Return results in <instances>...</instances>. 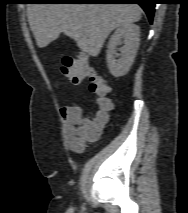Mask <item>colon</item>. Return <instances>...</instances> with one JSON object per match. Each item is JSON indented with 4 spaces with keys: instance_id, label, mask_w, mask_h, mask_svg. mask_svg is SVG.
<instances>
[{
    "instance_id": "5ec220e1",
    "label": "colon",
    "mask_w": 188,
    "mask_h": 213,
    "mask_svg": "<svg viewBox=\"0 0 188 213\" xmlns=\"http://www.w3.org/2000/svg\"><path fill=\"white\" fill-rule=\"evenodd\" d=\"M60 72L74 85H78L85 76L90 78V90L96 95L101 109V114L97 120L105 122L107 114L114 108L113 103L108 98L110 87L105 79L90 65L87 56L85 54H78L75 58L64 57L61 61ZM69 135L74 137L75 131L72 130Z\"/></svg>"
}]
</instances>
